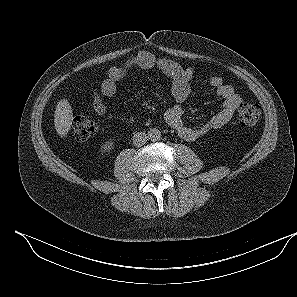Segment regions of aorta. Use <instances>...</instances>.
<instances>
[{
	"label": "aorta",
	"instance_id": "aorta-1",
	"mask_svg": "<svg viewBox=\"0 0 297 297\" xmlns=\"http://www.w3.org/2000/svg\"><path fill=\"white\" fill-rule=\"evenodd\" d=\"M160 137H161V132L157 128H151L148 131V138L151 141H157L160 139Z\"/></svg>",
	"mask_w": 297,
	"mask_h": 297
}]
</instances>
